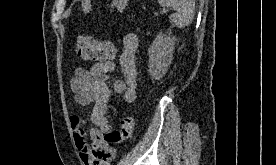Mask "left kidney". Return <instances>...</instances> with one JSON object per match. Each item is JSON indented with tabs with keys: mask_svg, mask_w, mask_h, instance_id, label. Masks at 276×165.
<instances>
[{
	"mask_svg": "<svg viewBox=\"0 0 276 165\" xmlns=\"http://www.w3.org/2000/svg\"><path fill=\"white\" fill-rule=\"evenodd\" d=\"M175 38L158 34L148 49V72L156 80L161 79L167 72L173 59Z\"/></svg>",
	"mask_w": 276,
	"mask_h": 165,
	"instance_id": "left-kidney-1",
	"label": "left kidney"
}]
</instances>
